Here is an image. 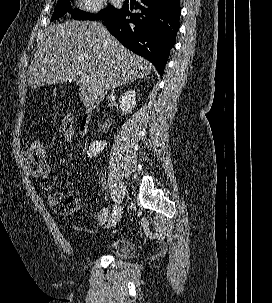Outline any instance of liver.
Segmentation results:
<instances>
[{
  "label": "liver",
  "mask_w": 272,
  "mask_h": 303,
  "mask_svg": "<svg viewBox=\"0 0 272 303\" xmlns=\"http://www.w3.org/2000/svg\"><path fill=\"white\" fill-rule=\"evenodd\" d=\"M152 65L126 49L107 29L94 21H67L46 29L27 72L32 88L80 81L79 96L91 108L107 90L147 77Z\"/></svg>",
  "instance_id": "obj_1"
}]
</instances>
